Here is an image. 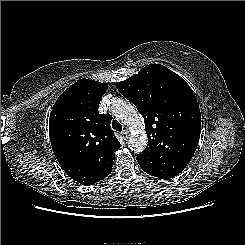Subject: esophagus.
<instances>
[{
    "mask_svg": "<svg viewBox=\"0 0 245 245\" xmlns=\"http://www.w3.org/2000/svg\"><path fill=\"white\" fill-rule=\"evenodd\" d=\"M122 135H123V137L126 139L128 136H129V131H128V129H124L123 131H122Z\"/></svg>",
    "mask_w": 245,
    "mask_h": 245,
    "instance_id": "1",
    "label": "esophagus"
}]
</instances>
